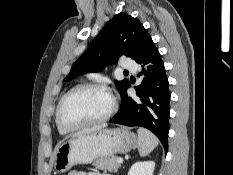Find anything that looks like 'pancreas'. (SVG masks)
<instances>
[{
  "label": "pancreas",
  "instance_id": "1",
  "mask_svg": "<svg viewBox=\"0 0 233 175\" xmlns=\"http://www.w3.org/2000/svg\"><path fill=\"white\" fill-rule=\"evenodd\" d=\"M96 169L99 170H108L110 172H117L119 167L121 166L120 163L117 162V157H107V158H99L94 163Z\"/></svg>",
  "mask_w": 233,
  "mask_h": 175
}]
</instances>
